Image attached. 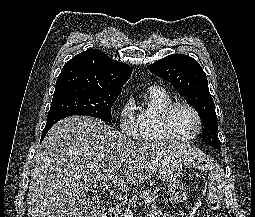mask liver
<instances>
[{"label": "liver", "mask_w": 255, "mask_h": 217, "mask_svg": "<svg viewBox=\"0 0 255 217\" xmlns=\"http://www.w3.org/2000/svg\"><path fill=\"white\" fill-rule=\"evenodd\" d=\"M174 154L199 157L187 144L138 143L98 119L67 117L50 129L35 153L28 217H82L90 204L86 187L115 175V186L127 191Z\"/></svg>", "instance_id": "liver-1"}]
</instances>
